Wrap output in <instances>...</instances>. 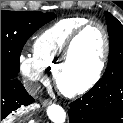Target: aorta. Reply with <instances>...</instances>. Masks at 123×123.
<instances>
[{"mask_svg": "<svg viewBox=\"0 0 123 123\" xmlns=\"http://www.w3.org/2000/svg\"><path fill=\"white\" fill-rule=\"evenodd\" d=\"M47 115L54 123H64L66 113L60 105L52 104L47 108Z\"/></svg>", "mask_w": 123, "mask_h": 123, "instance_id": "aorta-1", "label": "aorta"}]
</instances>
